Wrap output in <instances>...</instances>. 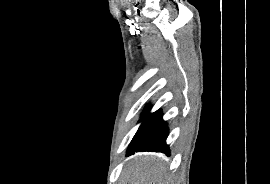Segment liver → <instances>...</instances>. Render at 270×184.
I'll return each mask as SVG.
<instances>
[{
  "instance_id": "obj_1",
  "label": "liver",
  "mask_w": 270,
  "mask_h": 184,
  "mask_svg": "<svg viewBox=\"0 0 270 184\" xmlns=\"http://www.w3.org/2000/svg\"><path fill=\"white\" fill-rule=\"evenodd\" d=\"M121 184H168L166 168L156 162L155 156H135L122 172Z\"/></svg>"
}]
</instances>
